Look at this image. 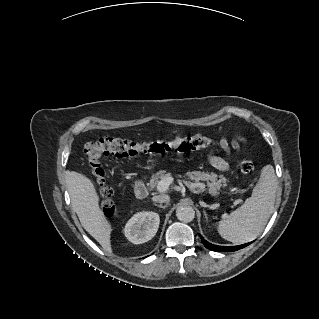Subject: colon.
Masks as SVG:
<instances>
[{
  "instance_id": "5ec220e1",
  "label": "colon",
  "mask_w": 319,
  "mask_h": 319,
  "mask_svg": "<svg viewBox=\"0 0 319 319\" xmlns=\"http://www.w3.org/2000/svg\"><path fill=\"white\" fill-rule=\"evenodd\" d=\"M214 145L213 140L203 136L166 139L161 141L132 142L120 138L103 137L85 146L86 166L94 179L100 198V206L105 214L113 212V190L106 183V174L102 160L106 157H130L138 154H162L167 152L190 153L208 149ZM243 174L254 171L251 161L244 160L239 164Z\"/></svg>"
}]
</instances>
